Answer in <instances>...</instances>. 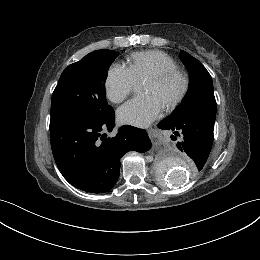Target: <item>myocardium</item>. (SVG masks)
<instances>
[{
  "instance_id": "f54148a6",
  "label": "myocardium",
  "mask_w": 260,
  "mask_h": 260,
  "mask_svg": "<svg viewBox=\"0 0 260 260\" xmlns=\"http://www.w3.org/2000/svg\"><path fill=\"white\" fill-rule=\"evenodd\" d=\"M176 76L181 78L182 86L179 92L165 104L167 108H172L176 106L186 95L189 88V77L187 73L178 68L169 69V70L159 72L147 79L148 82H152L154 84H162L167 80Z\"/></svg>"
}]
</instances>
